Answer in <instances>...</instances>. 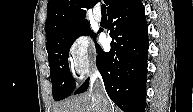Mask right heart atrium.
Instances as JSON below:
<instances>
[{
  "label": "right heart atrium",
  "instance_id": "obj_1",
  "mask_svg": "<svg viewBox=\"0 0 193 112\" xmlns=\"http://www.w3.org/2000/svg\"><path fill=\"white\" fill-rule=\"evenodd\" d=\"M68 59L73 73L84 77L96 67V59L90 38L81 32L76 34L68 45Z\"/></svg>",
  "mask_w": 193,
  "mask_h": 112
}]
</instances>
